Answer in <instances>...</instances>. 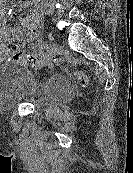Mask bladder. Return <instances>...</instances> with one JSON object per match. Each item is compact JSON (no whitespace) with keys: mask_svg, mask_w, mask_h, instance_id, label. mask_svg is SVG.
I'll use <instances>...</instances> for the list:
<instances>
[{"mask_svg":"<svg viewBox=\"0 0 133 173\" xmlns=\"http://www.w3.org/2000/svg\"><path fill=\"white\" fill-rule=\"evenodd\" d=\"M70 93L68 82L59 77L40 80L20 64L0 66V106L10 107L19 102H36L40 98L61 100Z\"/></svg>","mask_w":133,"mask_h":173,"instance_id":"31cf9c89","label":"bladder"}]
</instances>
